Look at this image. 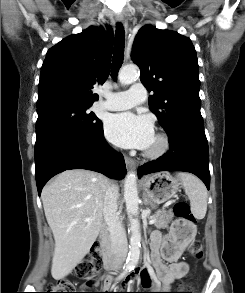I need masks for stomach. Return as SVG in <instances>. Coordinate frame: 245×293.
<instances>
[{"mask_svg": "<svg viewBox=\"0 0 245 293\" xmlns=\"http://www.w3.org/2000/svg\"><path fill=\"white\" fill-rule=\"evenodd\" d=\"M143 188L145 194L153 204H162L176 196L179 190V183L167 172L156 173L143 179ZM191 234L184 238L181 243L190 242L196 229L190 228Z\"/></svg>", "mask_w": 245, "mask_h": 293, "instance_id": "obj_1", "label": "stomach"}]
</instances>
